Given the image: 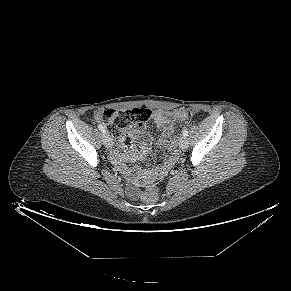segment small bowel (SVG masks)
<instances>
[{"instance_id":"small-bowel-1","label":"small bowel","mask_w":291,"mask_h":291,"mask_svg":"<svg viewBox=\"0 0 291 291\" xmlns=\"http://www.w3.org/2000/svg\"><path fill=\"white\" fill-rule=\"evenodd\" d=\"M153 121L159 131V137L157 138L156 143L160 148L167 149L170 145H172L171 138L174 132V119L172 115L166 111L156 110L153 113ZM132 137L138 142L140 150L135 153L123 155L115 152L114 157L117 161H135L144 159L147 156L151 148V142L148 135L143 131L135 129L132 132ZM170 164L171 160L168 158L164 161L162 166H153L145 169L134 177L133 183L141 184L149 182L156 177L164 175Z\"/></svg>"}]
</instances>
